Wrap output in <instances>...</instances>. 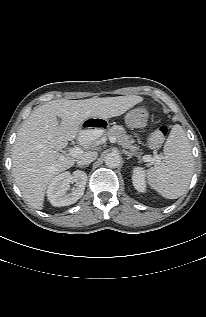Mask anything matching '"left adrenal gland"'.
Returning <instances> with one entry per match:
<instances>
[{"label":"left adrenal gland","mask_w":206,"mask_h":317,"mask_svg":"<svg viewBox=\"0 0 206 317\" xmlns=\"http://www.w3.org/2000/svg\"><path fill=\"white\" fill-rule=\"evenodd\" d=\"M123 153L128 156L127 159H130L133 156V153H130V152L125 151V150H123Z\"/></svg>","instance_id":"1"}]
</instances>
